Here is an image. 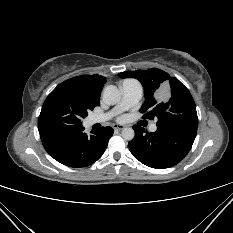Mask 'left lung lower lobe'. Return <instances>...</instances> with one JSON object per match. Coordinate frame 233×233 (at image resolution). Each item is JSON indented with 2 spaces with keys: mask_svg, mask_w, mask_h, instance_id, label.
Masks as SVG:
<instances>
[{
  "mask_svg": "<svg viewBox=\"0 0 233 233\" xmlns=\"http://www.w3.org/2000/svg\"><path fill=\"white\" fill-rule=\"evenodd\" d=\"M135 137L128 144L130 152L144 165L155 169L179 163L190 151L196 137L195 129H160L145 132L134 125Z\"/></svg>",
  "mask_w": 233,
  "mask_h": 233,
  "instance_id": "1",
  "label": "left lung lower lobe"
}]
</instances>
